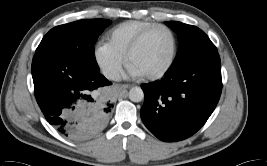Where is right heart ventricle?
<instances>
[{
	"instance_id": "right-heart-ventricle-1",
	"label": "right heart ventricle",
	"mask_w": 267,
	"mask_h": 166,
	"mask_svg": "<svg viewBox=\"0 0 267 166\" xmlns=\"http://www.w3.org/2000/svg\"><path fill=\"white\" fill-rule=\"evenodd\" d=\"M152 26V23L139 21L122 24L112 32L110 46L119 53H125L132 43Z\"/></svg>"
}]
</instances>
